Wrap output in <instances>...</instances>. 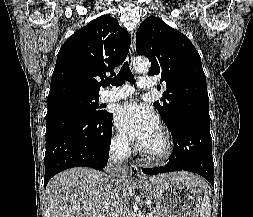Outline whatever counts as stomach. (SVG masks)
Segmentation results:
<instances>
[{"label":"stomach","mask_w":253,"mask_h":217,"mask_svg":"<svg viewBox=\"0 0 253 217\" xmlns=\"http://www.w3.org/2000/svg\"><path fill=\"white\" fill-rule=\"evenodd\" d=\"M140 187L151 196L164 217H199L202 188L188 186L172 178L157 184L143 182Z\"/></svg>","instance_id":"1"}]
</instances>
